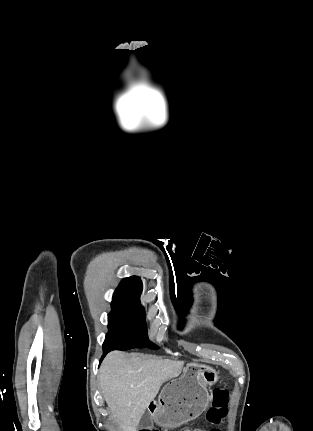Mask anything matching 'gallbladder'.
Masks as SVG:
<instances>
[{
    "label": "gallbladder",
    "mask_w": 313,
    "mask_h": 431,
    "mask_svg": "<svg viewBox=\"0 0 313 431\" xmlns=\"http://www.w3.org/2000/svg\"><path fill=\"white\" fill-rule=\"evenodd\" d=\"M142 424L145 426H149L152 425V418L150 416V414L145 413L142 417Z\"/></svg>",
    "instance_id": "1"
}]
</instances>
